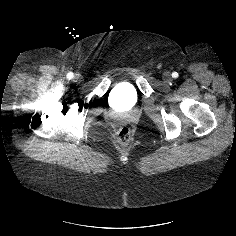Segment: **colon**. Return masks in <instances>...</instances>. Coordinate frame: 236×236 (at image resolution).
Masks as SVG:
<instances>
[{"label": "colon", "instance_id": "colon-1", "mask_svg": "<svg viewBox=\"0 0 236 236\" xmlns=\"http://www.w3.org/2000/svg\"><path fill=\"white\" fill-rule=\"evenodd\" d=\"M131 140V130L128 126H121L116 134V141L119 144L126 145Z\"/></svg>", "mask_w": 236, "mask_h": 236}]
</instances>
